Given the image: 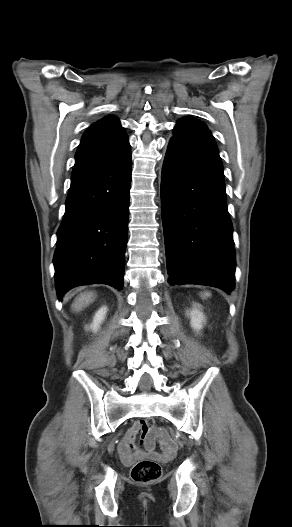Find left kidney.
I'll return each mask as SVG.
<instances>
[{"label": "left kidney", "instance_id": "1", "mask_svg": "<svg viewBox=\"0 0 292 527\" xmlns=\"http://www.w3.org/2000/svg\"><path fill=\"white\" fill-rule=\"evenodd\" d=\"M188 316H190V324L191 327L199 332L203 328V323L205 322V316L203 315V312L200 310L199 305H194L192 310L187 313Z\"/></svg>", "mask_w": 292, "mask_h": 527}]
</instances>
